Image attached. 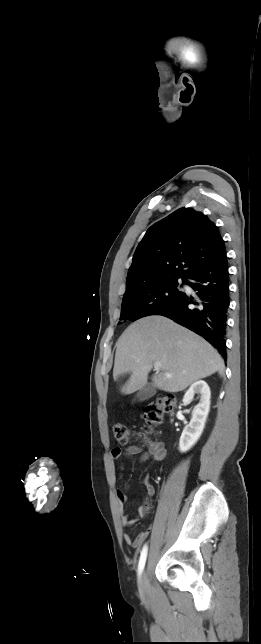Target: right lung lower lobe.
<instances>
[{
	"label": "right lung lower lobe",
	"mask_w": 261,
	"mask_h": 644,
	"mask_svg": "<svg viewBox=\"0 0 261 644\" xmlns=\"http://www.w3.org/2000/svg\"><path fill=\"white\" fill-rule=\"evenodd\" d=\"M183 282L196 291V296L182 293L174 303L156 315L166 316L204 337L225 358L230 303L227 257L213 265L191 271Z\"/></svg>",
	"instance_id": "1"
}]
</instances>
